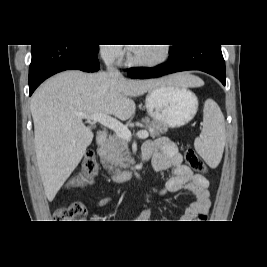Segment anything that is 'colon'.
Instances as JSON below:
<instances>
[{"label":"colon","mask_w":267,"mask_h":267,"mask_svg":"<svg viewBox=\"0 0 267 267\" xmlns=\"http://www.w3.org/2000/svg\"><path fill=\"white\" fill-rule=\"evenodd\" d=\"M184 156L188 166L198 173H204L206 170L203 160L191 148L186 147ZM81 172L77 176L80 185L86 184L98 169L95 155L92 151H87L81 163ZM87 212L86 205L81 201H74L65 207L58 208L54 213L55 222L59 223H75L81 222ZM206 215H201L200 220H205ZM204 222V221H201Z\"/></svg>","instance_id":"1"}]
</instances>
